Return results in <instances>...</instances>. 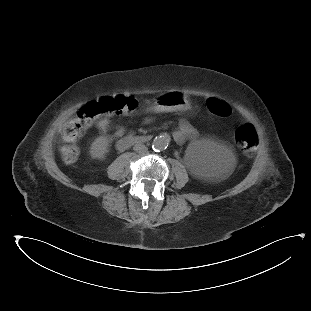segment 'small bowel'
<instances>
[{
	"label": "small bowel",
	"mask_w": 311,
	"mask_h": 311,
	"mask_svg": "<svg viewBox=\"0 0 311 311\" xmlns=\"http://www.w3.org/2000/svg\"><path fill=\"white\" fill-rule=\"evenodd\" d=\"M111 115L112 114H102L96 117V125L99 132L101 140L108 143L113 141L121 133L120 129H116L114 132L109 133L112 128L111 125ZM151 118H146L145 123H150ZM173 138L179 143H184L187 141H195L198 139L197 130L186 121H181L179 123L178 129L173 133Z\"/></svg>",
	"instance_id": "obj_1"
}]
</instances>
